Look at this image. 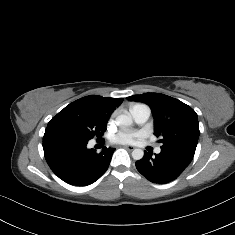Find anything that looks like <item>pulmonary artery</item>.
Segmentation results:
<instances>
[{"label": "pulmonary artery", "instance_id": "obj_1", "mask_svg": "<svg viewBox=\"0 0 235 235\" xmlns=\"http://www.w3.org/2000/svg\"><path fill=\"white\" fill-rule=\"evenodd\" d=\"M131 114L138 125H143L149 119L151 115V109L146 104H136L133 105L130 109ZM161 151L160 147L156 148V152Z\"/></svg>", "mask_w": 235, "mask_h": 235}]
</instances>
